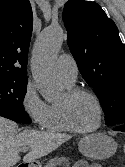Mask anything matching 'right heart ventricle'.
I'll list each match as a JSON object with an SVG mask.
<instances>
[{"label": "right heart ventricle", "mask_w": 125, "mask_h": 167, "mask_svg": "<svg viewBox=\"0 0 125 167\" xmlns=\"http://www.w3.org/2000/svg\"><path fill=\"white\" fill-rule=\"evenodd\" d=\"M67 89L73 88V84L65 82ZM48 131L52 132H68L70 129L67 127L63 121L58 103H53L50 105V115L46 126L44 127Z\"/></svg>", "instance_id": "obj_1"}]
</instances>
